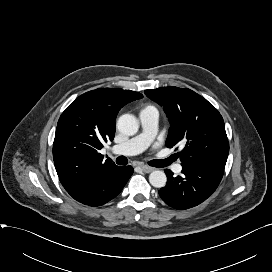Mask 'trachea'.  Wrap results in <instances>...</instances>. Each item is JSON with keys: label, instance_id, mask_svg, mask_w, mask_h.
Listing matches in <instances>:
<instances>
[{"label": "trachea", "instance_id": "1", "mask_svg": "<svg viewBox=\"0 0 272 272\" xmlns=\"http://www.w3.org/2000/svg\"><path fill=\"white\" fill-rule=\"evenodd\" d=\"M172 162L171 158L164 159V160H153L149 164L154 167H165ZM116 163L119 165H126L127 159L123 156H120L116 159Z\"/></svg>", "mask_w": 272, "mask_h": 272}]
</instances>
